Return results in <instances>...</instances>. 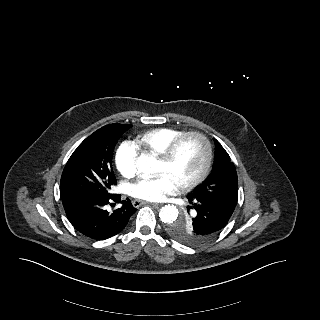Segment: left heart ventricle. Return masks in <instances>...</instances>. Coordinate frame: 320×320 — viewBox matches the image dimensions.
<instances>
[{"label": "left heart ventricle", "mask_w": 320, "mask_h": 320, "mask_svg": "<svg viewBox=\"0 0 320 320\" xmlns=\"http://www.w3.org/2000/svg\"><path fill=\"white\" fill-rule=\"evenodd\" d=\"M203 159L204 150L201 141L194 137L187 138L170 163L158 161L157 173L167 175L178 186L199 173Z\"/></svg>", "instance_id": "left-heart-ventricle-1"}]
</instances>
